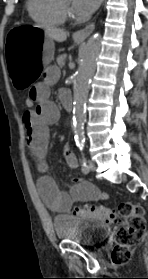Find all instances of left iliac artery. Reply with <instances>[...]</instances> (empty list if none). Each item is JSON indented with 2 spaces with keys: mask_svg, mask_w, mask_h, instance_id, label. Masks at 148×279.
Here are the masks:
<instances>
[{
  "mask_svg": "<svg viewBox=\"0 0 148 279\" xmlns=\"http://www.w3.org/2000/svg\"><path fill=\"white\" fill-rule=\"evenodd\" d=\"M83 148L80 147V150H82ZM82 171L84 173H88L89 172V166L87 165V162L85 160V158L83 157V161H82Z\"/></svg>",
  "mask_w": 148,
  "mask_h": 279,
  "instance_id": "obj_1",
  "label": "left iliac artery"
}]
</instances>
